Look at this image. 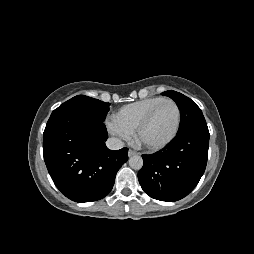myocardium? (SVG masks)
<instances>
[{"label": "myocardium", "mask_w": 254, "mask_h": 254, "mask_svg": "<svg viewBox=\"0 0 254 254\" xmlns=\"http://www.w3.org/2000/svg\"><path fill=\"white\" fill-rule=\"evenodd\" d=\"M165 103L173 104L177 110V122H176V125L174 128V131L165 141H163L160 144H156V145L146 144L141 139L142 132L146 128V126L151 122V120L153 119V117L155 116V114L159 110V108ZM181 120H182L181 108L178 105V103L172 99H164L163 101L158 103L156 106H154L148 112V114L141 120V122L138 124V126L136 128L137 141L140 142L149 151L156 152V151L162 150L165 147H167L169 144H171L174 141V139L177 137L179 130H180V126H181Z\"/></svg>", "instance_id": "myocardium-1"}]
</instances>
